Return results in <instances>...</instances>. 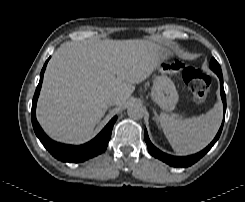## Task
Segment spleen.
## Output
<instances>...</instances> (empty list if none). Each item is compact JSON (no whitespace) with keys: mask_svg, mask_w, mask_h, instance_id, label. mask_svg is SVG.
Returning a JSON list of instances; mask_svg holds the SVG:
<instances>
[{"mask_svg":"<svg viewBox=\"0 0 245 202\" xmlns=\"http://www.w3.org/2000/svg\"><path fill=\"white\" fill-rule=\"evenodd\" d=\"M158 121L176 153L193 154L206 147L214 138L222 121V106L218 102L206 114L188 119L161 113Z\"/></svg>","mask_w":245,"mask_h":202,"instance_id":"1","label":"spleen"}]
</instances>
